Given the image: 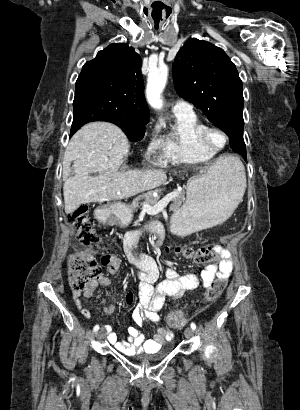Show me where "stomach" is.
Returning a JSON list of instances; mask_svg holds the SVG:
<instances>
[{"label": "stomach", "mask_w": 300, "mask_h": 410, "mask_svg": "<svg viewBox=\"0 0 300 410\" xmlns=\"http://www.w3.org/2000/svg\"><path fill=\"white\" fill-rule=\"evenodd\" d=\"M223 158L227 161L230 157ZM238 203L235 170L225 165L211 166L188 181L186 201L172 216V229L185 236L215 227L232 215ZM101 212L122 226L128 225L133 216L131 208L123 203H114Z\"/></svg>", "instance_id": "1"}]
</instances>
